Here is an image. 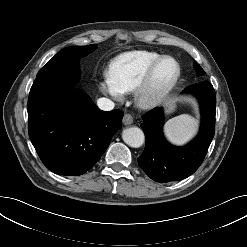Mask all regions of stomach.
Segmentation results:
<instances>
[{"label":"stomach","mask_w":247,"mask_h":247,"mask_svg":"<svg viewBox=\"0 0 247 247\" xmlns=\"http://www.w3.org/2000/svg\"><path fill=\"white\" fill-rule=\"evenodd\" d=\"M175 108V105L173 103L168 104L167 106V112H172Z\"/></svg>","instance_id":"stomach-1"}]
</instances>
